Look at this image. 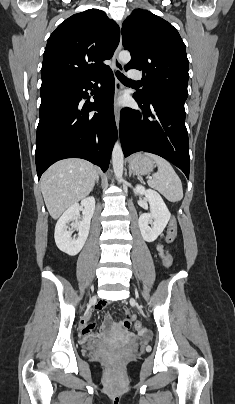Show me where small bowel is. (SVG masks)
<instances>
[{
    "mask_svg": "<svg viewBox=\"0 0 235 404\" xmlns=\"http://www.w3.org/2000/svg\"><path fill=\"white\" fill-rule=\"evenodd\" d=\"M157 250L159 252V255L162 258H164L163 246L161 243L157 244ZM106 304H107L106 301H100L98 304H96L94 307H92L85 313V315L80 323L81 329H82V334L85 338L94 339V338H98L103 335H114V334L118 333L119 327L112 324L111 316L109 314H107L105 316L104 324L101 326L100 332L98 334L95 333V324L88 323V320L90 319L91 315L95 311L99 312V311L104 310L106 307Z\"/></svg>",
    "mask_w": 235,
    "mask_h": 404,
    "instance_id": "1",
    "label": "small bowel"
}]
</instances>
